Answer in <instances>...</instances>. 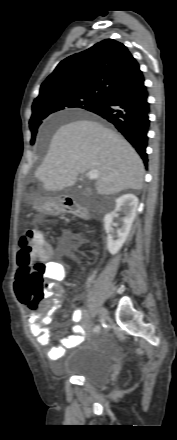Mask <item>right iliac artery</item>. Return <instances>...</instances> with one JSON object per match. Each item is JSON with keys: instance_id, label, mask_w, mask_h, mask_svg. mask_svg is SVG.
Wrapping results in <instances>:
<instances>
[{"instance_id": "obj_1", "label": "right iliac artery", "mask_w": 177, "mask_h": 440, "mask_svg": "<svg viewBox=\"0 0 177 440\" xmlns=\"http://www.w3.org/2000/svg\"><path fill=\"white\" fill-rule=\"evenodd\" d=\"M100 330V326H96L95 328H94V332H98Z\"/></svg>"}]
</instances>
